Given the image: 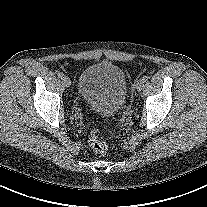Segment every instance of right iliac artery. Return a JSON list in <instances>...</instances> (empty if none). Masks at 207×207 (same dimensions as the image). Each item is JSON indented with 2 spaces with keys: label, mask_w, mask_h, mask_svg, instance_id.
Segmentation results:
<instances>
[{
  "label": "right iliac artery",
  "mask_w": 207,
  "mask_h": 207,
  "mask_svg": "<svg viewBox=\"0 0 207 207\" xmlns=\"http://www.w3.org/2000/svg\"><path fill=\"white\" fill-rule=\"evenodd\" d=\"M58 77L62 79L64 77V74L62 72H59Z\"/></svg>",
  "instance_id": "82829eb1"
}]
</instances>
